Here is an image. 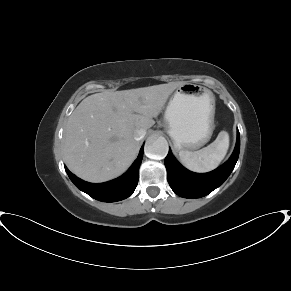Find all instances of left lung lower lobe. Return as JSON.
Masks as SVG:
<instances>
[{"label": "left lung lower lobe", "instance_id": "left-lung-lower-lobe-1", "mask_svg": "<svg viewBox=\"0 0 291 291\" xmlns=\"http://www.w3.org/2000/svg\"><path fill=\"white\" fill-rule=\"evenodd\" d=\"M240 135L237 133L235 150L229 160L209 173L191 172L181 166L169 149L165 158L167 179L172 190L184 198H200L219 187L231 174L239 157Z\"/></svg>", "mask_w": 291, "mask_h": 291}]
</instances>
